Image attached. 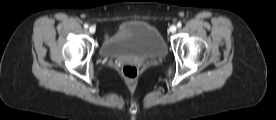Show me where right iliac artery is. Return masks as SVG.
<instances>
[{"label":"right iliac artery","instance_id":"obj_1","mask_svg":"<svg viewBox=\"0 0 276 120\" xmlns=\"http://www.w3.org/2000/svg\"><path fill=\"white\" fill-rule=\"evenodd\" d=\"M89 27V25L86 23L84 24V28L87 29Z\"/></svg>","mask_w":276,"mask_h":120}]
</instances>
